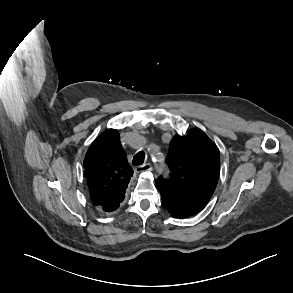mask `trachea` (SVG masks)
Here are the masks:
<instances>
[{
  "label": "trachea",
  "instance_id": "1",
  "mask_svg": "<svg viewBox=\"0 0 293 293\" xmlns=\"http://www.w3.org/2000/svg\"><path fill=\"white\" fill-rule=\"evenodd\" d=\"M144 158H145L144 152H138L134 156L133 161H132V164L135 165V166L141 165L144 162Z\"/></svg>",
  "mask_w": 293,
  "mask_h": 293
}]
</instances>
